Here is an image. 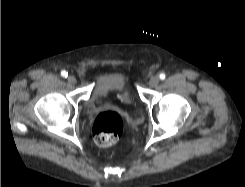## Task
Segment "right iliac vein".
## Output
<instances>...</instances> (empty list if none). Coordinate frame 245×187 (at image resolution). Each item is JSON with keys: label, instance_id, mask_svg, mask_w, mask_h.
Returning a JSON list of instances; mask_svg holds the SVG:
<instances>
[{"label": "right iliac vein", "instance_id": "obj_1", "mask_svg": "<svg viewBox=\"0 0 245 187\" xmlns=\"http://www.w3.org/2000/svg\"><path fill=\"white\" fill-rule=\"evenodd\" d=\"M67 80H68V82H69L70 84H75V83H76V78H75V76H73V75H69V76L67 77Z\"/></svg>", "mask_w": 245, "mask_h": 187}]
</instances>
